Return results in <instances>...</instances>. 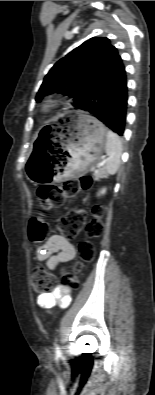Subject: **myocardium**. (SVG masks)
Segmentation results:
<instances>
[{"label":"myocardium","mask_w":155,"mask_h":395,"mask_svg":"<svg viewBox=\"0 0 155 395\" xmlns=\"http://www.w3.org/2000/svg\"><path fill=\"white\" fill-rule=\"evenodd\" d=\"M58 106V103L55 100H46L41 105V113L43 115H47L54 111Z\"/></svg>","instance_id":"f54148a6"}]
</instances>
